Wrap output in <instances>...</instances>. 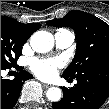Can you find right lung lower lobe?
Returning a JSON list of instances; mask_svg holds the SVG:
<instances>
[{
    "mask_svg": "<svg viewBox=\"0 0 109 109\" xmlns=\"http://www.w3.org/2000/svg\"><path fill=\"white\" fill-rule=\"evenodd\" d=\"M30 78L32 76L23 70H20L13 80L1 78V109H12L15 106L23 82Z\"/></svg>",
    "mask_w": 109,
    "mask_h": 109,
    "instance_id": "1",
    "label": "right lung lower lobe"
}]
</instances>
